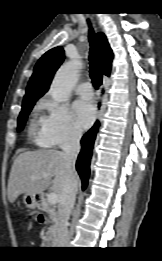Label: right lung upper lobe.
Listing matches in <instances>:
<instances>
[{"label": "right lung upper lobe", "instance_id": "1", "mask_svg": "<svg viewBox=\"0 0 162 261\" xmlns=\"http://www.w3.org/2000/svg\"><path fill=\"white\" fill-rule=\"evenodd\" d=\"M100 60L102 63L101 72L109 76L112 67L113 53L106 39V36L99 32L97 34ZM64 60V50L62 47H55L47 51L37 62L27 85L26 94L23 101L40 98L47 92L53 75Z\"/></svg>", "mask_w": 162, "mask_h": 261}]
</instances>
